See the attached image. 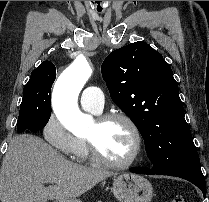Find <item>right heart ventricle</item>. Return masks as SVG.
Returning <instances> with one entry per match:
<instances>
[{"label":"right heart ventricle","instance_id":"e07e8e85","mask_svg":"<svg viewBox=\"0 0 209 202\" xmlns=\"http://www.w3.org/2000/svg\"><path fill=\"white\" fill-rule=\"evenodd\" d=\"M89 157L88 148L85 140H80L78 147L73 153V158L77 161H85Z\"/></svg>","mask_w":209,"mask_h":202}]
</instances>
